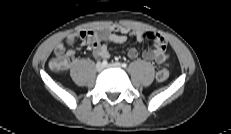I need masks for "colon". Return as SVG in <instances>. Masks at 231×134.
<instances>
[{
  "mask_svg": "<svg viewBox=\"0 0 231 134\" xmlns=\"http://www.w3.org/2000/svg\"><path fill=\"white\" fill-rule=\"evenodd\" d=\"M70 60L66 56H55L50 61V67L54 70H65L69 67ZM170 72L167 67H162L156 74V79L159 82L166 81L169 78Z\"/></svg>",
  "mask_w": 231,
  "mask_h": 134,
  "instance_id": "obj_1",
  "label": "colon"
}]
</instances>
